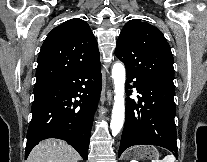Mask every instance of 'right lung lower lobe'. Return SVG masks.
Returning <instances> with one entry per match:
<instances>
[{
	"label": "right lung lower lobe",
	"instance_id": "obj_1",
	"mask_svg": "<svg viewBox=\"0 0 207 162\" xmlns=\"http://www.w3.org/2000/svg\"><path fill=\"white\" fill-rule=\"evenodd\" d=\"M101 88L100 63L35 84L25 158L41 140L58 138L71 144L87 160ZM76 96L80 101L73 102L72 98Z\"/></svg>",
	"mask_w": 207,
	"mask_h": 162
}]
</instances>
